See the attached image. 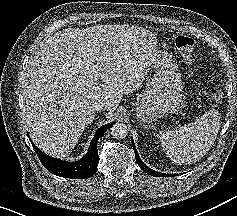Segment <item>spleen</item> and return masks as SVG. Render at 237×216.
<instances>
[{
  "label": "spleen",
  "instance_id": "obj_1",
  "mask_svg": "<svg viewBox=\"0 0 237 216\" xmlns=\"http://www.w3.org/2000/svg\"><path fill=\"white\" fill-rule=\"evenodd\" d=\"M218 126L210 123L205 114L195 122L178 130H167L158 135L166 155L174 161L192 162L203 156L214 143Z\"/></svg>",
  "mask_w": 237,
  "mask_h": 216
}]
</instances>
